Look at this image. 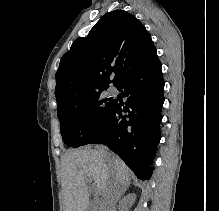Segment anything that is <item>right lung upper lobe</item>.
Instances as JSON below:
<instances>
[{
  "label": "right lung upper lobe",
  "instance_id": "1",
  "mask_svg": "<svg viewBox=\"0 0 219 211\" xmlns=\"http://www.w3.org/2000/svg\"><path fill=\"white\" fill-rule=\"evenodd\" d=\"M156 56L144 25L127 11H111L62 56L56 73L57 103L106 90L110 83L115 86Z\"/></svg>",
  "mask_w": 219,
  "mask_h": 211
}]
</instances>
